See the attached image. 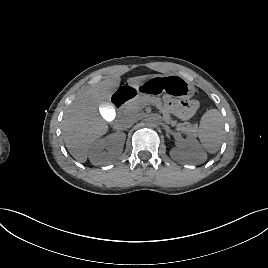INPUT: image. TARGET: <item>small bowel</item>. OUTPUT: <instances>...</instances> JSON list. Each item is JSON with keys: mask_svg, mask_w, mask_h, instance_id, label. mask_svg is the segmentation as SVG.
<instances>
[{"mask_svg": "<svg viewBox=\"0 0 268 268\" xmlns=\"http://www.w3.org/2000/svg\"><path fill=\"white\" fill-rule=\"evenodd\" d=\"M167 106L171 113L181 120L190 119L198 108V104L194 100L190 101H168Z\"/></svg>", "mask_w": 268, "mask_h": 268, "instance_id": "c3829d8e", "label": "small bowel"}]
</instances>
